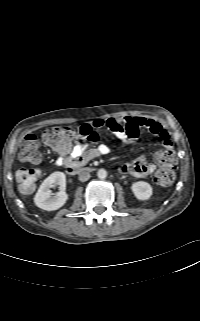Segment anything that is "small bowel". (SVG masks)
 Masks as SVG:
<instances>
[{
    "label": "small bowel",
    "instance_id": "obj_1",
    "mask_svg": "<svg viewBox=\"0 0 200 321\" xmlns=\"http://www.w3.org/2000/svg\"><path fill=\"white\" fill-rule=\"evenodd\" d=\"M84 131H94L97 129H107L116 137L125 143L137 142L140 129H147L150 133L157 136L164 146V151H172L173 144L170 135L164 127L151 118L126 116L120 118H101L84 124ZM164 151H158L155 158ZM110 148L106 144H99L97 147L90 148L87 144L70 145L67 149L60 151L59 158L56 161L58 166L65 165L68 169L77 165H83L86 162L106 155ZM121 172L135 177H146L155 170L154 163L141 156L133 162H127L121 165Z\"/></svg>",
    "mask_w": 200,
    "mask_h": 321
}]
</instances>
